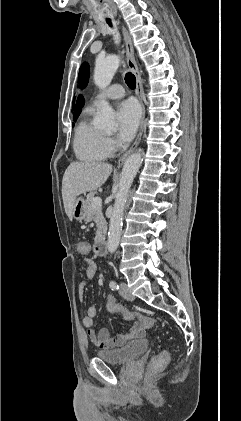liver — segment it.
Returning <instances> with one entry per match:
<instances>
[{
    "mask_svg": "<svg viewBox=\"0 0 241 421\" xmlns=\"http://www.w3.org/2000/svg\"><path fill=\"white\" fill-rule=\"evenodd\" d=\"M112 172V165L98 162H72L62 180V198L70 220L75 200L81 194L100 188Z\"/></svg>",
    "mask_w": 241,
    "mask_h": 421,
    "instance_id": "obj_1",
    "label": "liver"
}]
</instances>
